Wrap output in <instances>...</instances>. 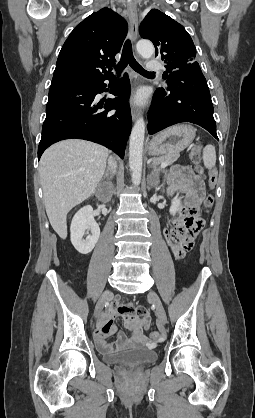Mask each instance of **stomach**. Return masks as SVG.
Wrapping results in <instances>:
<instances>
[{
    "instance_id": "obj_1",
    "label": "stomach",
    "mask_w": 255,
    "mask_h": 418,
    "mask_svg": "<svg viewBox=\"0 0 255 418\" xmlns=\"http://www.w3.org/2000/svg\"><path fill=\"white\" fill-rule=\"evenodd\" d=\"M195 135L196 129L191 125L178 124L172 126L149 141L148 153L152 156L180 153L192 143Z\"/></svg>"
}]
</instances>
